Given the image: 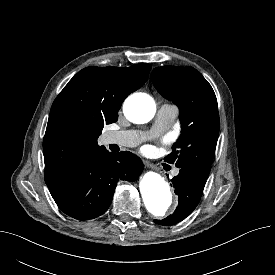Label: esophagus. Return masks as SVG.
<instances>
[{
  "instance_id": "esophagus-1",
  "label": "esophagus",
  "mask_w": 275,
  "mask_h": 275,
  "mask_svg": "<svg viewBox=\"0 0 275 275\" xmlns=\"http://www.w3.org/2000/svg\"><path fill=\"white\" fill-rule=\"evenodd\" d=\"M146 167H148V168H154V166H153V165L148 164V163H146Z\"/></svg>"
}]
</instances>
